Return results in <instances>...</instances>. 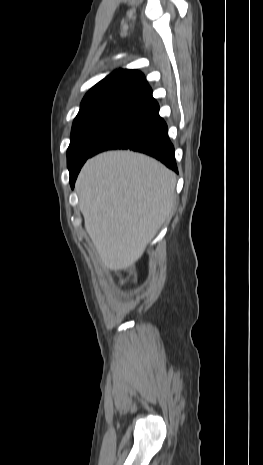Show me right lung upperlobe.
Wrapping results in <instances>:
<instances>
[{
  "instance_id": "obj_1",
  "label": "right lung upper lobe",
  "mask_w": 263,
  "mask_h": 465,
  "mask_svg": "<svg viewBox=\"0 0 263 465\" xmlns=\"http://www.w3.org/2000/svg\"><path fill=\"white\" fill-rule=\"evenodd\" d=\"M152 93L143 73L137 70H115L92 87L82 100L81 106L109 99L139 101Z\"/></svg>"
}]
</instances>
